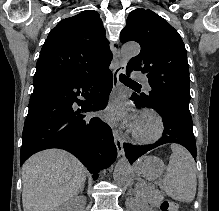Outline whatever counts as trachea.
I'll use <instances>...</instances> for the list:
<instances>
[{"mask_svg": "<svg viewBox=\"0 0 219 211\" xmlns=\"http://www.w3.org/2000/svg\"><path fill=\"white\" fill-rule=\"evenodd\" d=\"M120 81L126 85L129 84H137V82H134L133 80H131L130 78H128L127 76L120 74Z\"/></svg>", "mask_w": 219, "mask_h": 211, "instance_id": "3493384b", "label": "trachea"}]
</instances>
